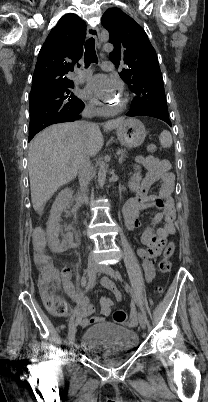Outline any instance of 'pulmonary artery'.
Here are the masks:
<instances>
[{
	"mask_svg": "<svg viewBox=\"0 0 208 402\" xmlns=\"http://www.w3.org/2000/svg\"><path fill=\"white\" fill-rule=\"evenodd\" d=\"M103 70L104 71H110L113 69L112 62L110 60H104L103 61ZM74 73L76 76H89L91 73V70L89 67H76L74 70Z\"/></svg>",
	"mask_w": 208,
	"mask_h": 402,
	"instance_id": "e3ab8cb5",
	"label": "pulmonary artery"
}]
</instances>
